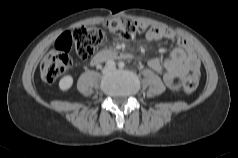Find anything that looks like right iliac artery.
<instances>
[{
	"label": "right iliac artery",
	"mask_w": 238,
	"mask_h": 158,
	"mask_svg": "<svg viewBox=\"0 0 238 158\" xmlns=\"http://www.w3.org/2000/svg\"><path fill=\"white\" fill-rule=\"evenodd\" d=\"M107 64H108V66H110V67H115V65H116V63H115L113 60H109V61L107 62Z\"/></svg>",
	"instance_id": "1"
}]
</instances>
